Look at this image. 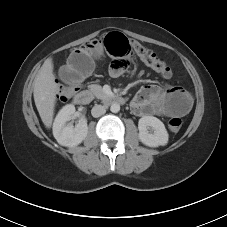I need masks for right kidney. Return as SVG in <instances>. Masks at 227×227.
<instances>
[{
    "mask_svg": "<svg viewBox=\"0 0 227 227\" xmlns=\"http://www.w3.org/2000/svg\"><path fill=\"white\" fill-rule=\"evenodd\" d=\"M74 113V105L68 104L59 111L53 123V135L57 142L65 147L79 145L88 133L87 121L83 118L75 128L71 124H66L72 119Z\"/></svg>",
    "mask_w": 227,
    "mask_h": 227,
    "instance_id": "obj_1",
    "label": "right kidney"
}]
</instances>
